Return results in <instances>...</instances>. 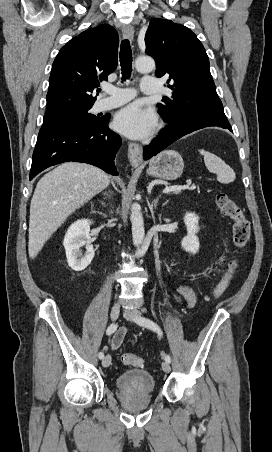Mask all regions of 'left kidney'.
<instances>
[{
    "label": "left kidney",
    "mask_w": 272,
    "mask_h": 452,
    "mask_svg": "<svg viewBox=\"0 0 272 452\" xmlns=\"http://www.w3.org/2000/svg\"><path fill=\"white\" fill-rule=\"evenodd\" d=\"M199 217L195 213L188 212L184 215V223L187 235L182 239V248L189 253L196 254L199 250V239L196 234L199 231Z\"/></svg>",
    "instance_id": "left-kidney-1"
}]
</instances>
